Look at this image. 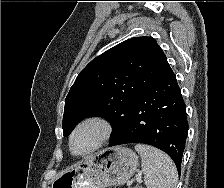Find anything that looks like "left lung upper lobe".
<instances>
[{"mask_svg":"<svg viewBox=\"0 0 224 188\" xmlns=\"http://www.w3.org/2000/svg\"><path fill=\"white\" fill-rule=\"evenodd\" d=\"M171 70L152 37L128 39L93 59L77 76L66 100L62 128L68 136L84 118L101 116L123 127L141 92Z\"/></svg>","mask_w":224,"mask_h":188,"instance_id":"left-lung-upper-lobe-1","label":"left lung upper lobe"}]
</instances>
